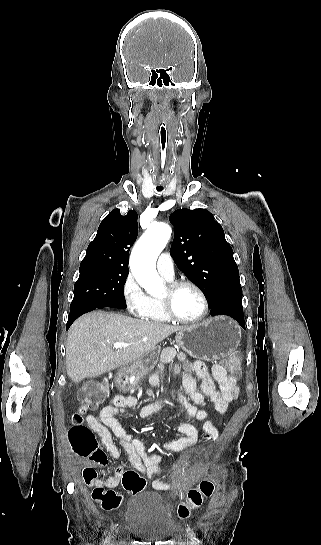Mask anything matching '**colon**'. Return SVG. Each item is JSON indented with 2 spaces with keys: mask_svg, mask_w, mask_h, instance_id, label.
<instances>
[{
  "mask_svg": "<svg viewBox=\"0 0 321 545\" xmlns=\"http://www.w3.org/2000/svg\"><path fill=\"white\" fill-rule=\"evenodd\" d=\"M224 364L230 376L234 379L238 378L241 370L240 358L234 353L229 354ZM105 392L106 388L102 383L89 382L78 394L81 406L73 415V425L68 434L73 450L79 455L92 457L101 452L92 431L83 424V417L87 410L96 409L104 401ZM122 485L126 490L137 493L144 489L145 480L135 470H128L122 476ZM213 492V483L209 480H202L197 487L188 490L185 500L178 506V516L180 518L188 517L192 510L200 508L206 500L210 499ZM92 498L99 502L105 510H114L122 502L121 494L104 487H95L92 491Z\"/></svg>",
  "mask_w": 321,
  "mask_h": 545,
  "instance_id": "5ec220e1",
  "label": "colon"
}]
</instances>
